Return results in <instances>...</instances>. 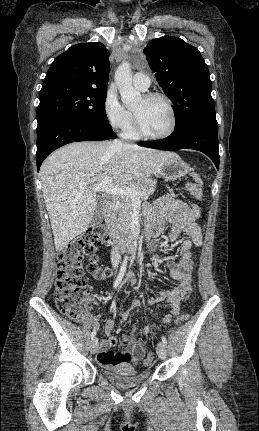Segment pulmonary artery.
Wrapping results in <instances>:
<instances>
[{
  "label": "pulmonary artery",
  "instance_id": "1",
  "mask_svg": "<svg viewBox=\"0 0 259 431\" xmlns=\"http://www.w3.org/2000/svg\"><path fill=\"white\" fill-rule=\"evenodd\" d=\"M133 84L137 89L146 91L150 86V78L144 73H136L133 77Z\"/></svg>",
  "mask_w": 259,
  "mask_h": 431
}]
</instances>
